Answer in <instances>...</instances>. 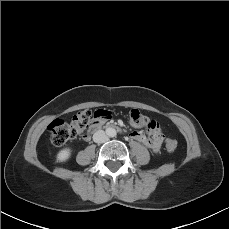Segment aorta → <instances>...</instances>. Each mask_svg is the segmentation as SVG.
I'll list each match as a JSON object with an SVG mask.
<instances>
[{
  "label": "aorta",
  "instance_id": "aorta-1",
  "mask_svg": "<svg viewBox=\"0 0 229 229\" xmlns=\"http://www.w3.org/2000/svg\"><path fill=\"white\" fill-rule=\"evenodd\" d=\"M106 133L109 137H115L116 136V130L114 128H107Z\"/></svg>",
  "mask_w": 229,
  "mask_h": 229
}]
</instances>
